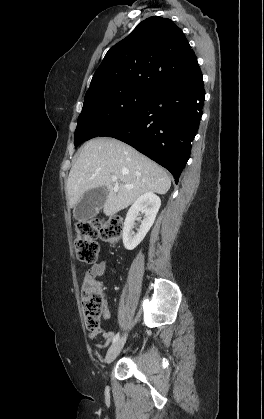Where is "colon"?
Instances as JSON below:
<instances>
[{"instance_id":"5ec220e1","label":"colon","mask_w":264,"mask_h":419,"mask_svg":"<svg viewBox=\"0 0 264 419\" xmlns=\"http://www.w3.org/2000/svg\"><path fill=\"white\" fill-rule=\"evenodd\" d=\"M77 236L74 241L76 257L85 263H94L99 254L96 241L101 238L109 243H117L122 235L123 222L119 217L80 221L76 225ZM81 305L86 327L90 331L101 330L100 319L106 306L105 294L96 278L84 277L81 290Z\"/></svg>"}]
</instances>
